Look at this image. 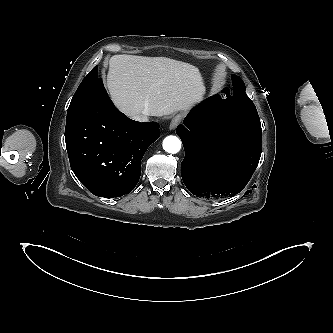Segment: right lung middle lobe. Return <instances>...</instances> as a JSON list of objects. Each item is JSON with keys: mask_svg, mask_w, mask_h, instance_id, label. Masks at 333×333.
Masks as SVG:
<instances>
[{"mask_svg": "<svg viewBox=\"0 0 333 333\" xmlns=\"http://www.w3.org/2000/svg\"><path fill=\"white\" fill-rule=\"evenodd\" d=\"M101 83L102 79L98 78V68L96 66L89 74H87L79 85L69 105L67 116L79 109L84 108L86 100L89 98L94 89Z\"/></svg>", "mask_w": 333, "mask_h": 333, "instance_id": "1", "label": "right lung middle lobe"}]
</instances>
